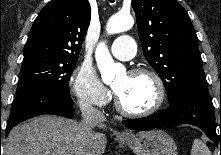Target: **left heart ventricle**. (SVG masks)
<instances>
[{
    "label": "left heart ventricle",
    "mask_w": 221,
    "mask_h": 155,
    "mask_svg": "<svg viewBox=\"0 0 221 155\" xmlns=\"http://www.w3.org/2000/svg\"><path fill=\"white\" fill-rule=\"evenodd\" d=\"M113 88L124 107L130 111L147 110L156 101L157 89L155 82L146 74H123L116 79Z\"/></svg>",
    "instance_id": "left-heart-ventricle-1"
}]
</instances>
